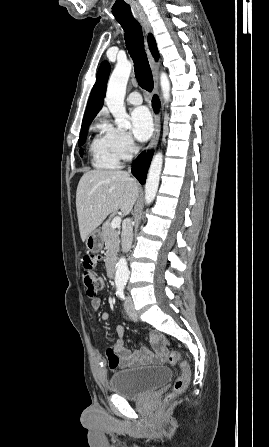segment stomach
I'll list each match as a JSON object with an SVG mask.
<instances>
[{
  "label": "stomach",
  "instance_id": "obj_1",
  "mask_svg": "<svg viewBox=\"0 0 269 447\" xmlns=\"http://www.w3.org/2000/svg\"><path fill=\"white\" fill-rule=\"evenodd\" d=\"M86 247L89 251L97 253L104 245V237L101 229H94L85 239Z\"/></svg>",
  "mask_w": 269,
  "mask_h": 447
}]
</instances>
